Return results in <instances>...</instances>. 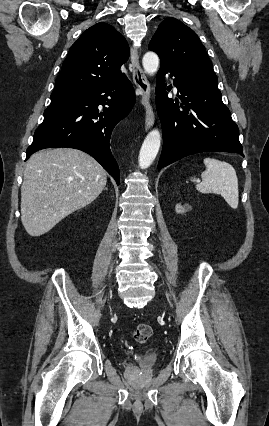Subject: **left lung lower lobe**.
<instances>
[{"instance_id": "obj_1", "label": "left lung lower lobe", "mask_w": 269, "mask_h": 426, "mask_svg": "<svg viewBox=\"0 0 269 426\" xmlns=\"http://www.w3.org/2000/svg\"><path fill=\"white\" fill-rule=\"evenodd\" d=\"M166 73L174 77L181 104L179 101L174 104L167 97ZM217 81L174 66H160L156 106L162 124L163 148L158 170L199 152H230L244 156L238 127L222 102Z\"/></svg>"}]
</instances>
